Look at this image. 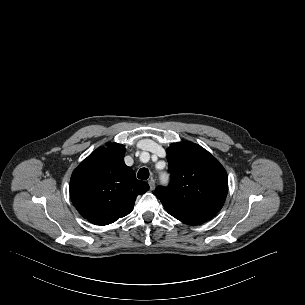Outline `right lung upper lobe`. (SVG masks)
<instances>
[{
  "label": "right lung upper lobe",
  "instance_id": "cb5924a9",
  "mask_svg": "<svg viewBox=\"0 0 305 305\" xmlns=\"http://www.w3.org/2000/svg\"><path fill=\"white\" fill-rule=\"evenodd\" d=\"M124 155L123 145L110 143L107 148H97L72 173V203L95 225H108L126 216L136 197L149 189L124 163Z\"/></svg>",
  "mask_w": 305,
  "mask_h": 305
}]
</instances>
